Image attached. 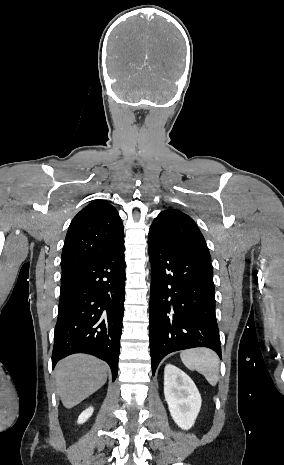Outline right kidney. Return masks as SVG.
<instances>
[{
  "label": "right kidney",
  "mask_w": 284,
  "mask_h": 465,
  "mask_svg": "<svg viewBox=\"0 0 284 465\" xmlns=\"http://www.w3.org/2000/svg\"><path fill=\"white\" fill-rule=\"evenodd\" d=\"M93 411H94L93 407H89V409H86V411H83V413L79 415L77 423H79V425H82V423H86L87 419L91 417Z\"/></svg>",
  "instance_id": "obj_1"
}]
</instances>
